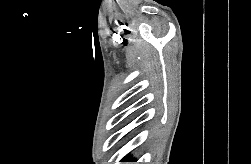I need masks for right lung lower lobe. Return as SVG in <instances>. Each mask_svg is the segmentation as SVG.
I'll return each mask as SVG.
<instances>
[{"label":"right lung lower lobe","instance_id":"obj_1","mask_svg":"<svg viewBox=\"0 0 251 164\" xmlns=\"http://www.w3.org/2000/svg\"><path fill=\"white\" fill-rule=\"evenodd\" d=\"M124 161H132L131 159H126V160H124Z\"/></svg>","mask_w":251,"mask_h":164}]
</instances>
